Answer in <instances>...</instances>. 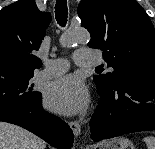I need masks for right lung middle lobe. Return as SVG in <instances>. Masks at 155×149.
Segmentation results:
<instances>
[{
    "label": "right lung middle lobe",
    "mask_w": 155,
    "mask_h": 149,
    "mask_svg": "<svg viewBox=\"0 0 155 149\" xmlns=\"http://www.w3.org/2000/svg\"><path fill=\"white\" fill-rule=\"evenodd\" d=\"M32 77L33 73L0 68V108L27 110L36 105L41 93L33 91Z\"/></svg>",
    "instance_id": "dd1d6c3e"
}]
</instances>
